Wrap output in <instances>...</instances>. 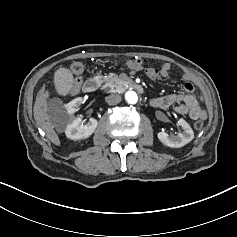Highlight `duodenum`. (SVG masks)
Wrapping results in <instances>:
<instances>
[{
  "instance_id": "obj_1",
  "label": "duodenum",
  "mask_w": 237,
  "mask_h": 237,
  "mask_svg": "<svg viewBox=\"0 0 237 237\" xmlns=\"http://www.w3.org/2000/svg\"><path fill=\"white\" fill-rule=\"evenodd\" d=\"M99 84L100 82L97 78H89L84 82L82 89L86 93H91L98 89ZM128 85L139 93L144 91L143 86L137 82L128 81Z\"/></svg>"
}]
</instances>
